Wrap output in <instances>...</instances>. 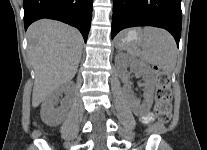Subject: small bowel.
Listing matches in <instances>:
<instances>
[{"instance_id":"1","label":"small bowel","mask_w":207,"mask_h":150,"mask_svg":"<svg viewBox=\"0 0 207 150\" xmlns=\"http://www.w3.org/2000/svg\"><path fill=\"white\" fill-rule=\"evenodd\" d=\"M142 118H143V121L145 123H148V122H150L152 120V114L148 113L145 116H143Z\"/></svg>"}]
</instances>
